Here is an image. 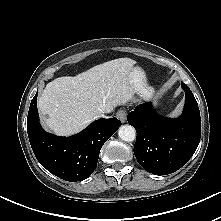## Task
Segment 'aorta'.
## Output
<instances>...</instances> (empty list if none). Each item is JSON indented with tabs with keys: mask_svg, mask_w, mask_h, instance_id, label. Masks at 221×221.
Masks as SVG:
<instances>
[{
	"mask_svg": "<svg viewBox=\"0 0 221 221\" xmlns=\"http://www.w3.org/2000/svg\"><path fill=\"white\" fill-rule=\"evenodd\" d=\"M118 136L125 142H132L136 138V130L131 125H122L118 130Z\"/></svg>",
	"mask_w": 221,
	"mask_h": 221,
	"instance_id": "762f6f07",
	"label": "aorta"
}]
</instances>
